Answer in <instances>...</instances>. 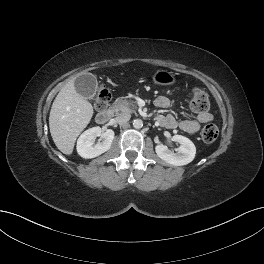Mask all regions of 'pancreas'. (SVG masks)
<instances>
[{
    "label": "pancreas",
    "instance_id": "cf45deb5",
    "mask_svg": "<svg viewBox=\"0 0 264 264\" xmlns=\"http://www.w3.org/2000/svg\"><path fill=\"white\" fill-rule=\"evenodd\" d=\"M113 110L115 111L116 115L121 114H130L136 112V103L132 100H126L123 98H118L112 105Z\"/></svg>",
    "mask_w": 264,
    "mask_h": 264
}]
</instances>
